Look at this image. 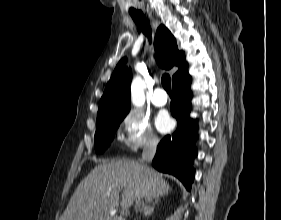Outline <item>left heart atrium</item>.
Returning <instances> with one entry per match:
<instances>
[{
    "label": "left heart atrium",
    "instance_id": "left-heart-atrium-1",
    "mask_svg": "<svg viewBox=\"0 0 281 220\" xmlns=\"http://www.w3.org/2000/svg\"><path fill=\"white\" fill-rule=\"evenodd\" d=\"M155 124L157 129L162 133L169 132L173 128V121L166 111H161L157 115Z\"/></svg>",
    "mask_w": 281,
    "mask_h": 220
}]
</instances>
